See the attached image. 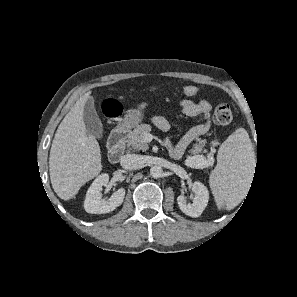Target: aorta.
<instances>
[{"label":"aorta","instance_id":"1","mask_svg":"<svg viewBox=\"0 0 297 297\" xmlns=\"http://www.w3.org/2000/svg\"><path fill=\"white\" fill-rule=\"evenodd\" d=\"M150 175L153 178H160L163 175V170L160 166H152L150 169Z\"/></svg>","mask_w":297,"mask_h":297}]
</instances>
